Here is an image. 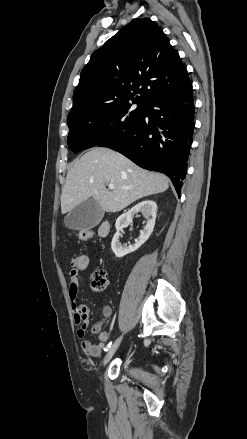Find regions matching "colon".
I'll return each instance as SVG.
<instances>
[{
    "label": "colon",
    "instance_id": "5ec220e1",
    "mask_svg": "<svg viewBox=\"0 0 247 439\" xmlns=\"http://www.w3.org/2000/svg\"><path fill=\"white\" fill-rule=\"evenodd\" d=\"M93 234L91 231L83 230L79 232L78 238L81 241H86L92 238ZM73 268L79 271L85 270L89 265V257L86 254H80L73 259ZM107 285V276L104 270L97 269L91 274V287L95 291H101L105 289Z\"/></svg>",
    "mask_w": 247,
    "mask_h": 439
}]
</instances>
